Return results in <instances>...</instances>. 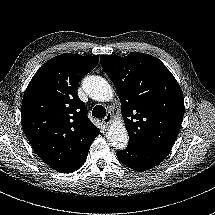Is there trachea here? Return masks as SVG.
Returning <instances> with one entry per match:
<instances>
[{
	"instance_id": "obj_1",
	"label": "trachea",
	"mask_w": 215,
	"mask_h": 215,
	"mask_svg": "<svg viewBox=\"0 0 215 215\" xmlns=\"http://www.w3.org/2000/svg\"><path fill=\"white\" fill-rule=\"evenodd\" d=\"M92 115L96 118L102 119L106 116V109L102 105H97L93 108Z\"/></svg>"
}]
</instances>
